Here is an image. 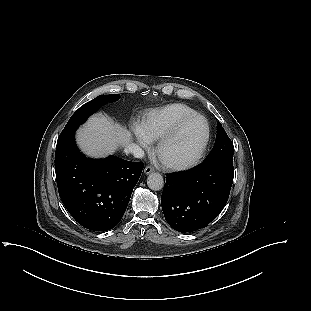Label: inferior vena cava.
I'll list each match as a JSON object with an SVG mask.
<instances>
[{"label":"inferior vena cava","instance_id":"1","mask_svg":"<svg viewBox=\"0 0 311 311\" xmlns=\"http://www.w3.org/2000/svg\"><path fill=\"white\" fill-rule=\"evenodd\" d=\"M124 152L126 154H132L135 158L144 157V151L142 150V148L134 143H128L124 148Z\"/></svg>","mask_w":311,"mask_h":311}]
</instances>
